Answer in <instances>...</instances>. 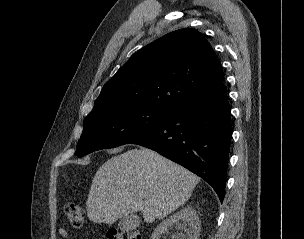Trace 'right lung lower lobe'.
Masks as SVG:
<instances>
[{
    "label": "right lung lower lobe",
    "instance_id": "right-lung-lower-lobe-1",
    "mask_svg": "<svg viewBox=\"0 0 304 239\" xmlns=\"http://www.w3.org/2000/svg\"><path fill=\"white\" fill-rule=\"evenodd\" d=\"M232 137L230 106L223 82L179 106L167 119L132 140L182 165L209 183L222 202Z\"/></svg>",
    "mask_w": 304,
    "mask_h": 239
}]
</instances>
